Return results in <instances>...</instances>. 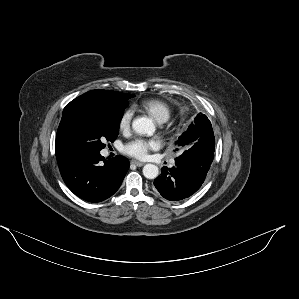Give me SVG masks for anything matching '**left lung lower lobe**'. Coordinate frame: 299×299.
I'll return each mask as SVG.
<instances>
[{"label": "left lung lower lobe", "mask_w": 299, "mask_h": 299, "mask_svg": "<svg viewBox=\"0 0 299 299\" xmlns=\"http://www.w3.org/2000/svg\"><path fill=\"white\" fill-rule=\"evenodd\" d=\"M209 169L199 161L179 156L175 159V166L162 168L161 174L154 180V186L165 199L179 201L190 197L201 187Z\"/></svg>", "instance_id": "0a47b994"}]
</instances>
